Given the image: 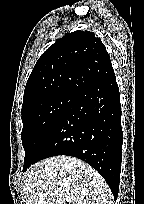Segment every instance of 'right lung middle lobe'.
I'll return each instance as SVG.
<instances>
[{
    "instance_id": "dd1d6c3e",
    "label": "right lung middle lobe",
    "mask_w": 144,
    "mask_h": 204,
    "mask_svg": "<svg viewBox=\"0 0 144 204\" xmlns=\"http://www.w3.org/2000/svg\"><path fill=\"white\" fill-rule=\"evenodd\" d=\"M75 94L59 93L22 111V144L25 150L23 172L35 163L38 153L55 129Z\"/></svg>"
}]
</instances>
